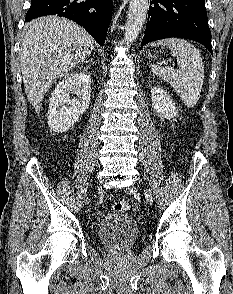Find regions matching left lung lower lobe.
Masks as SVG:
<instances>
[{
    "mask_svg": "<svg viewBox=\"0 0 233 294\" xmlns=\"http://www.w3.org/2000/svg\"><path fill=\"white\" fill-rule=\"evenodd\" d=\"M186 38L204 45L213 55L205 0H152L141 48L152 41Z\"/></svg>",
    "mask_w": 233,
    "mask_h": 294,
    "instance_id": "1",
    "label": "left lung lower lobe"
}]
</instances>
